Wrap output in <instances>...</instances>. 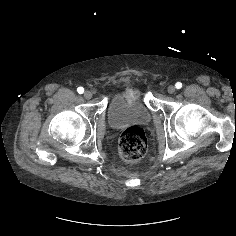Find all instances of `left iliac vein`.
Instances as JSON below:
<instances>
[{
	"label": "left iliac vein",
	"mask_w": 236,
	"mask_h": 236,
	"mask_svg": "<svg viewBox=\"0 0 236 236\" xmlns=\"http://www.w3.org/2000/svg\"><path fill=\"white\" fill-rule=\"evenodd\" d=\"M167 91H168L169 94H173V93H175L176 88H175L173 85H170V86L167 88Z\"/></svg>",
	"instance_id": "obj_1"
}]
</instances>
